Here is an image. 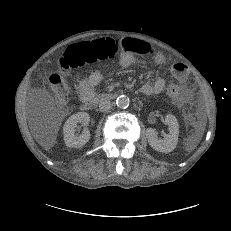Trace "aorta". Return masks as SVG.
I'll return each instance as SVG.
<instances>
[{"mask_svg":"<svg viewBox=\"0 0 231 231\" xmlns=\"http://www.w3.org/2000/svg\"><path fill=\"white\" fill-rule=\"evenodd\" d=\"M116 104L119 108H127L130 104V99L126 95H121L117 98Z\"/></svg>","mask_w":231,"mask_h":231,"instance_id":"aorta-1","label":"aorta"}]
</instances>
